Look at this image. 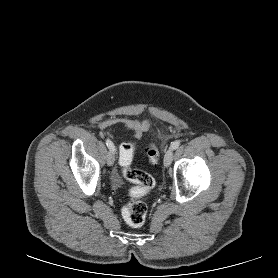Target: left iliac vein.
<instances>
[{
	"instance_id": "4c4485c4",
	"label": "left iliac vein",
	"mask_w": 278,
	"mask_h": 278,
	"mask_svg": "<svg viewBox=\"0 0 278 278\" xmlns=\"http://www.w3.org/2000/svg\"><path fill=\"white\" fill-rule=\"evenodd\" d=\"M173 160V149H169L164 156V166L168 167Z\"/></svg>"
}]
</instances>
